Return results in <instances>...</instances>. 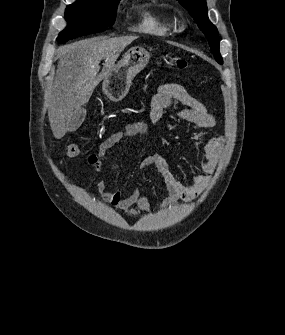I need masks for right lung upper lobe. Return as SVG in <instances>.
Here are the masks:
<instances>
[{
    "label": "right lung upper lobe",
    "mask_w": 285,
    "mask_h": 335,
    "mask_svg": "<svg viewBox=\"0 0 285 335\" xmlns=\"http://www.w3.org/2000/svg\"><path fill=\"white\" fill-rule=\"evenodd\" d=\"M96 1L114 4V3H119L120 0H96Z\"/></svg>",
    "instance_id": "1"
}]
</instances>
